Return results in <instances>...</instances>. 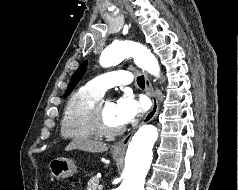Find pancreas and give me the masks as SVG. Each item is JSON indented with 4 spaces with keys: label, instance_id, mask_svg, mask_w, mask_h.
<instances>
[{
    "label": "pancreas",
    "instance_id": "cf45deb5",
    "mask_svg": "<svg viewBox=\"0 0 238 190\" xmlns=\"http://www.w3.org/2000/svg\"><path fill=\"white\" fill-rule=\"evenodd\" d=\"M87 190H99V179L97 177H92L88 181Z\"/></svg>",
    "mask_w": 238,
    "mask_h": 190
}]
</instances>
